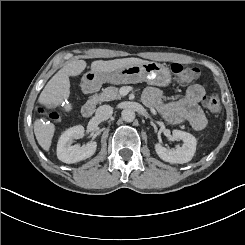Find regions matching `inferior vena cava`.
<instances>
[{
    "label": "inferior vena cava",
    "mask_w": 245,
    "mask_h": 245,
    "mask_svg": "<svg viewBox=\"0 0 245 245\" xmlns=\"http://www.w3.org/2000/svg\"><path fill=\"white\" fill-rule=\"evenodd\" d=\"M112 113H113V108L110 105H106V104L101 105L96 110V116L100 120H106V119L110 118Z\"/></svg>",
    "instance_id": "602c4592"
}]
</instances>
